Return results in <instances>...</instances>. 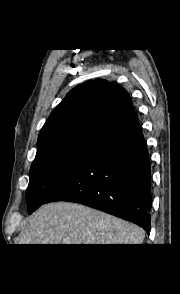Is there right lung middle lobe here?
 <instances>
[{
  "instance_id": "dd1d6c3e",
  "label": "right lung middle lobe",
  "mask_w": 180,
  "mask_h": 294,
  "mask_svg": "<svg viewBox=\"0 0 180 294\" xmlns=\"http://www.w3.org/2000/svg\"><path fill=\"white\" fill-rule=\"evenodd\" d=\"M99 141L74 139L37 152L30 169L26 191L28 212L32 213L63 184L97 146Z\"/></svg>"
}]
</instances>
